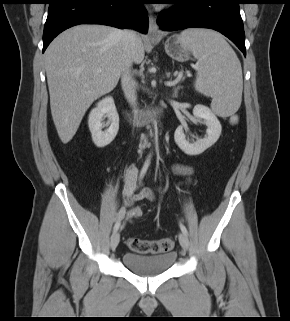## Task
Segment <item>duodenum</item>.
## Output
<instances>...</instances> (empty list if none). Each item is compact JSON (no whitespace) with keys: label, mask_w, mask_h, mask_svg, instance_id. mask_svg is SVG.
<instances>
[{"label":"duodenum","mask_w":290,"mask_h":321,"mask_svg":"<svg viewBox=\"0 0 290 321\" xmlns=\"http://www.w3.org/2000/svg\"><path fill=\"white\" fill-rule=\"evenodd\" d=\"M125 116L132 123H134L136 125H140V124L150 123V122L159 120L161 118V116H162V112L161 111H157L154 114H148V115H143V116H136V115L131 114V113H125Z\"/></svg>","instance_id":"obj_1"}]
</instances>
